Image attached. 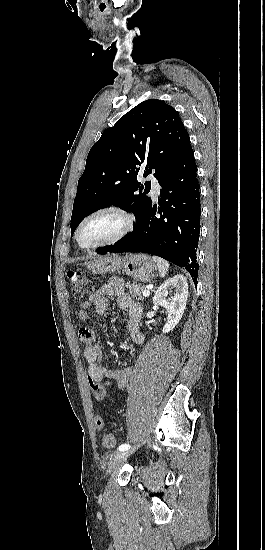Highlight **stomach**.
<instances>
[{
    "instance_id": "0dacf381",
    "label": "stomach",
    "mask_w": 265,
    "mask_h": 550,
    "mask_svg": "<svg viewBox=\"0 0 265 550\" xmlns=\"http://www.w3.org/2000/svg\"><path fill=\"white\" fill-rule=\"evenodd\" d=\"M84 265L96 274L115 273L122 270L126 275L141 282L152 281L156 272V265L149 256L144 254L94 256Z\"/></svg>"
}]
</instances>
